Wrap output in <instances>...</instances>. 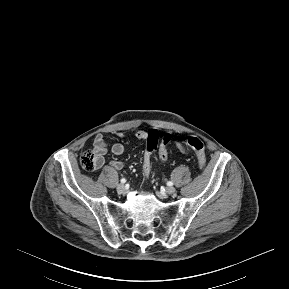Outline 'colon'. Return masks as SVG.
<instances>
[{
    "label": "colon",
    "mask_w": 289,
    "mask_h": 289,
    "mask_svg": "<svg viewBox=\"0 0 289 289\" xmlns=\"http://www.w3.org/2000/svg\"><path fill=\"white\" fill-rule=\"evenodd\" d=\"M171 139L172 136L169 133L160 137L159 132L155 129H152L148 132L147 138L145 140V152L142 159V170L145 177H148L151 172L152 154L155 151L158 152V156L161 160H166L168 158L167 146L171 142ZM185 142L195 151L199 168L204 169L206 165V155L203 142L195 136L187 137ZM80 163L83 169L92 171L96 169L98 160L95 153L88 150L81 154Z\"/></svg>",
    "instance_id": "1"
}]
</instances>
